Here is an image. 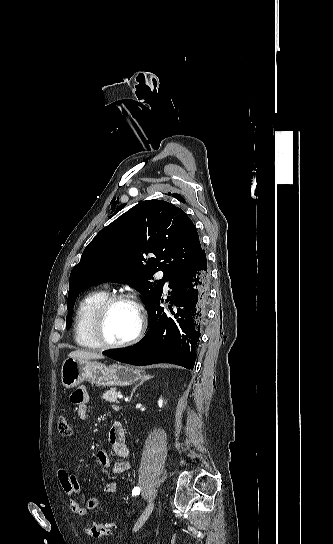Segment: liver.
<instances>
[{
	"label": "liver",
	"instance_id": "1",
	"mask_svg": "<svg viewBox=\"0 0 333 544\" xmlns=\"http://www.w3.org/2000/svg\"><path fill=\"white\" fill-rule=\"evenodd\" d=\"M69 358L81 359V360H92V359H103L102 354L96 352H90L85 350H75L69 353Z\"/></svg>",
	"mask_w": 333,
	"mask_h": 544
}]
</instances>
